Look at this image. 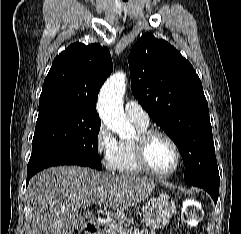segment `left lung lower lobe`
<instances>
[{
  "label": "left lung lower lobe",
  "mask_w": 241,
  "mask_h": 234,
  "mask_svg": "<svg viewBox=\"0 0 241 234\" xmlns=\"http://www.w3.org/2000/svg\"><path fill=\"white\" fill-rule=\"evenodd\" d=\"M187 184L203 188L211 195L214 202L217 203L218 193H219V183H212L210 181L198 180V181L189 182Z\"/></svg>",
  "instance_id": "obj_1"
}]
</instances>
